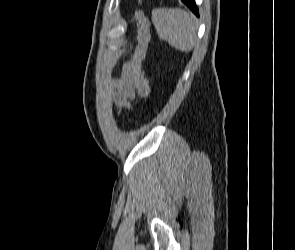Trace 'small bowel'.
Returning a JSON list of instances; mask_svg holds the SVG:
<instances>
[{"mask_svg": "<svg viewBox=\"0 0 295 250\" xmlns=\"http://www.w3.org/2000/svg\"><path fill=\"white\" fill-rule=\"evenodd\" d=\"M135 98L134 86L123 78L117 80L113 94L114 104L118 114L131 109V102Z\"/></svg>", "mask_w": 295, "mask_h": 250, "instance_id": "1", "label": "small bowel"}]
</instances>
